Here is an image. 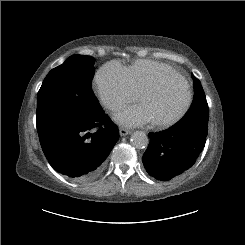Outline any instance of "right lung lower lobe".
Returning <instances> with one entry per match:
<instances>
[{
	"mask_svg": "<svg viewBox=\"0 0 245 245\" xmlns=\"http://www.w3.org/2000/svg\"><path fill=\"white\" fill-rule=\"evenodd\" d=\"M51 166L76 181L94 179L119 139L118 127L102 111L85 118H69L38 132Z\"/></svg>",
	"mask_w": 245,
	"mask_h": 245,
	"instance_id": "obj_1",
	"label": "right lung lower lobe"
}]
</instances>
